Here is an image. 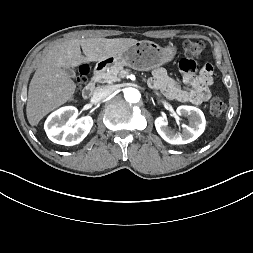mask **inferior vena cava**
Here are the masks:
<instances>
[{
	"label": "inferior vena cava",
	"mask_w": 253,
	"mask_h": 253,
	"mask_svg": "<svg viewBox=\"0 0 253 253\" xmlns=\"http://www.w3.org/2000/svg\"><path fill=\"white\" fill-rule=\"evenodd\" d=\"M113 91V88L110 86H101L95 90L93 97L99 101L111 95Z\"/></svg>",
	"instance_id": "inferior-vena-cava-1"
}]
</instances>
